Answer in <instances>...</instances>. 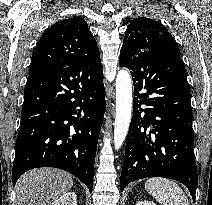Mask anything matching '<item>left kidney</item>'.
Listing matches in <instances>:
<instances>
[{
  "mask_svg": "<svg viewBox=\"0 0 212 205\" xmlns=\"http://www.w3.org/2000/svg\"><path fill=\"white\" fill-rule=\"evenodd\" d=\"M136 205H156L154 202L144 200V201H138Z\"/></svg>",
  "mask_w": 212,
  "mask_h": 205,
  "instance_id": "1",
  "label": "left kidney"
}]
</instances>
